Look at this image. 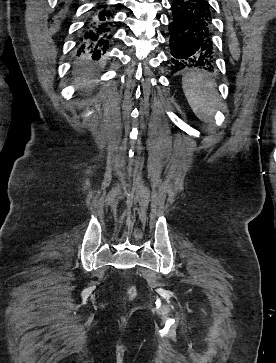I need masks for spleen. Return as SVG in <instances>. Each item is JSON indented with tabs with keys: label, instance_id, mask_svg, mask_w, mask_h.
<instances>
[{
	"label": "spleen",
	"instance_id": "3e777b00",
	"mask_svg": "<svg viewBox=\"0 0 276 363\" xmlns=\"http://www.w3.org/2000/svg\"><path fill=\"white\" fill-rule=\"evenodd\" d=\"M182 88L195 115L201 121H212L219 103L215 80L205 72L192 70L182 78Z\"/></svg>",
	"mask_w": 276,
	"mask_h": 363
}]
</instances>
